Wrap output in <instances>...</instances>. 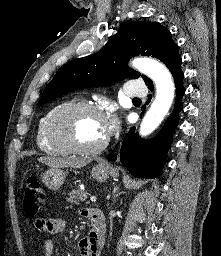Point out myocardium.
<instances>
[{
  "instance_id": "f54148a6",
  "label": "myocardium",
  "mask_w": 221,
  "mask_h": 256,
  "mask_svg": "<svg viewBox=\"0 0 221 256\" xmlns=\"http://www.w3.org/2000/svg\"><path fill=\"white\" fill-rule=\"evenodd\" d=\"M90 112L105 119L103 110L90 103L74 102L59 109L51 118L48 135L52 142L61 145L68 153L95 155L103 151L108 144V137L93 147H83L75 143L70 133L71 119L79 113Z\"/></svg>"
}]
</instances>
